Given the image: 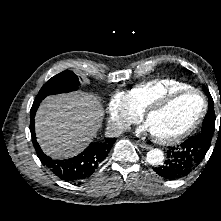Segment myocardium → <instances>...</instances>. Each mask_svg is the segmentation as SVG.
<instances>
[{"mask_svg":"<svg viewBox=\"0 0 221 221\" xmlns=\"http://www.w3.org/2000/svg\"><path fill=\"white\" fill-rule=\"evenodd\" d=\"M197 94L200 96L202 100V107L197 115V117L190 123L186 128H184L182 131L175 135L171 136H160L152 133L153 139L160 143V144H175L180 142L181 140L185 139L188 137L202 122L204 119L206 113H207V108H208V103L205 95L198 89L196 88H185V89H180V90H175L171 91L164 96L158 98L157 100L153 101L141 114L143 121L146 123L147 119L149 116L152 114H155L164 108L168 107L171 103H173L175 100H177L179 97L184 96L186 94Z\"/></svg>","mask_w":221,"mask_h":221,"instance_id":"1","label":"myocardium"}]
</instances>
